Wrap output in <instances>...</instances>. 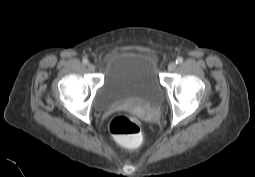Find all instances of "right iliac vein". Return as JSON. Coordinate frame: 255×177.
<instances>
[{"instance_id":"right-iliac-vein-1","label":"right iliac vein","mask_w":255,"mask_h":177,"mask_svg":"<svg viewBox=\"0 0 255 177\" xmlns=\"http://www.w3.org/2000/svg\"><path fill=\"white\" fill-rule=\"evenodd\" d=\"M95 68H96V67H95L94 64H92V63H89V64H88V70H89V71H92V72H93V71H95Z\"/></svg>"}]
</instances>
